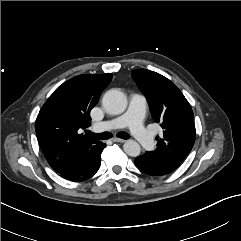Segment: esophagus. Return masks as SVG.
<instances>
[{"instance_id":"1","label":"esophagus","mask_w":241,"mask_h":241,"mask_svg":"<svg viewBox=\"0 0 241 241\" xmlns=\"http://www.w3.org/2000/svg\"><path fill=\"white\" fill-rule=\"evenodd\" d=\"M112 141L113 142H118V143H124L125 142L124 139H120V138H113Z\"/></svg>"}]
</instances>
